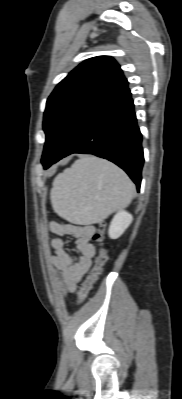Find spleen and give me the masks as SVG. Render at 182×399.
<instances>
[{
    "label": "spleen",
    "mask_w": 182,
    "mask_h": 399,
    "mask_svg": "<svg viewBox=\"0 0 182 399\" xmlns=\"http://www.w3.org/2000/svg\"><path fill=\"white\" fill-rule=\"evenodd\" d=\"M134 192V184L122 169L107 160L83 156L55 177L50 199L59 216L86 225L126 207Z\"/></svg>",
    "instance_id": "1"
}]
</instances>
